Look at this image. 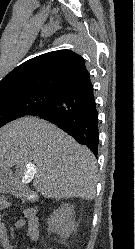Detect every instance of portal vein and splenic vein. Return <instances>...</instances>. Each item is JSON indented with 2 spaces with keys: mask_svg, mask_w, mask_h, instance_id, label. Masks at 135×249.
Wrapping results in <instances>:
<instances>
[{
  "mask_svg": "<svg viewBox=\"0 0 135 249\" xmlns=\"http://www.w3.org/2000/svg\"><path fill=\"white\" fill-rule=\"evenodd\" d=\"M35 172H36L35 166L33 164H28L26 170L27 177H33Z\"/></svg>",
  "mask_w": 135,
  "mask_h": 249,
  "instance_id": "portal-vein-and-splenic-vein-1",
  "label": "portal vein and splenic vein"
}]
</instances>
